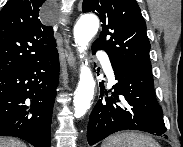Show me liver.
<instances>
[{
  "label": "liver",
  "instance_id": "obj_1",
  "mask_svg": "<svg viewBox=\"0 0 183 147\" xmlns=\"http://www.w3.org/2000/svg\"><path fill=\"white\" fill-rule=\"evenodd\" d=\"M0 147H26V145L13 138H0Z\"/></svg>",
  "mask_w": 183,
  "mask_h": 147
}]
</instances>
